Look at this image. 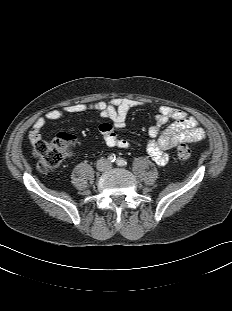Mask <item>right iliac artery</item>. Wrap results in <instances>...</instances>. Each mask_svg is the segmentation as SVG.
Listing matches in <instances>:
<instances>
[{"instance_id": "right-iliac-artery-1", "label": "right iliac artery", "mask_w": 232, "mask_h": 311, "mask_svg": "<svg viewBox=\"0 0 232 311\" xmlns=\"http://www.w3.org/2000/svg\"><path fill=\"white\" fill-rule=\"evenodd\" d=\"M108 159H109V161H110V162H115L116 157H115V155H114V154H112V155H110V156H109V158H108Z\"/></svg>"}]
</instances>
